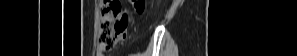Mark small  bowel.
I'll list each match as a JSON object with an SVG mask.
<instances>
[{"instance_id":"c3829d8e","label":"small bowel","mask_w":297,"mask_h":56,"mask_svg":"<svg viewBox=\"0 0 297 56\" xmlns=\"http://www.w3.org/2000/svg\"><path fill=\"white\" fill-rule=\"evenodd\" d=\"M126 38H129V33H122L121 41H126Z\"/></svg>"}]
</instances>
